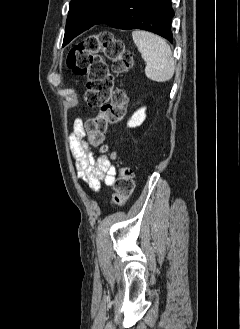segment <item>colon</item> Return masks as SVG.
I'll list each match as a JSON object with an SVG mask.
<instances>
[{
	"mask_svg": "<svg viewBox=\"0 0 240 329\" xmlns=\"http://www.w3.org/2000/svg\"><path fill=\"white\" fill-rule=\"evenodd\" d=\"M112 60L114 73H125L133 66V56L124 44L109 32L91 34L74 46L68 54L67 66L77 75L87 77L84 100L90 108L100 112L85 122L89 143L106 152L105 133L111 124L120 122L125 114L128 96L122 86H115L113 76L103 57ZM112 157L117 158L116 153ZM134 173L121 167L114 182L112 203L123 206L134 188Z\"/></svg>",
	"mask_w": 240,
	"mask_h": 329,
	"instance_id": "obj_1",
	"label": "colon"
}]
</instances>
